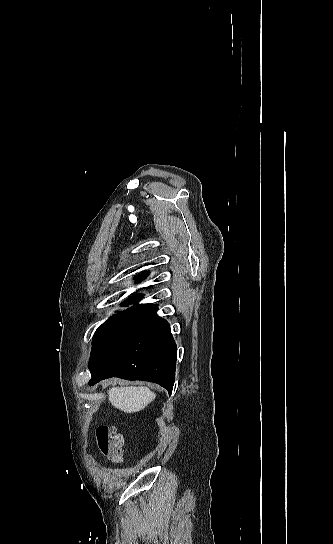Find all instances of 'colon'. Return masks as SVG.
Wrapping results in <instances>:
<instances>
[{
	"label": "colon",
	"mask_w": 333,
	"mask_h": 544,
	"mask_svg": "<svg viewBox=\"0 0 333 544\" xmlns=\"http://www.w3.org/2000/svg\"><path fill=\"white\" fill-rule=\"evenodd\" d=\"M95 436L100 452L113 462H121L123 437L111 427H99Z\"/></svg>",
	"instance_id": "5ec220e1"
}]
</instances>
